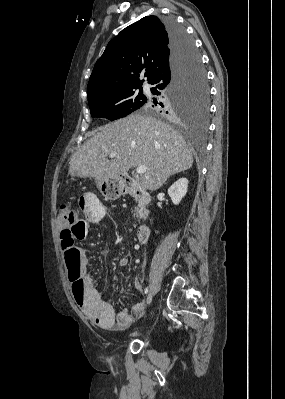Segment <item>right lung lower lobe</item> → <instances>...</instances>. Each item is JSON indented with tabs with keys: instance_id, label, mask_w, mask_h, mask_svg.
Segmentation results:
<instances>
[{
	"instance_id": "1",
	"label": "right lung lower lobe",
	"mask_w": 285,
	"mask_h": 399,
	"mask_svg": "<svg viewBox=\"0 0 285 399\" xmlns=\"http://www.w3.org/2000/svg\"><path fill=\"white\" fill-rule=\"evenodd\" d=\"M164 24L169 36L171 56L168 67L160 71L150 83L155 85L151 91L156 95H161L165 91L170 93L182 78L187 66L192 62L195 51V45L185 29L175 20H167ZM159 105H163V103L160 102ZM163 106L168 109L172 105L170 101L166 100Z\"/></svg>"
}]
</instances>
